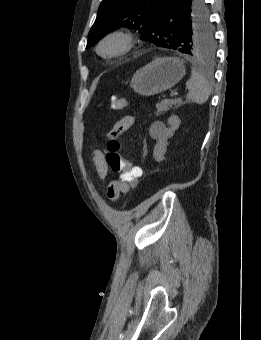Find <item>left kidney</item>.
<instances>
[{
	"label": "left kidney",
	"instance_id": "left-kidney-1",
	"mask_svg": "<svg viewBox=\"0 0 261 340\" xmlns=\"http://www.w3.org/2000/svg\"><path fill=\"white\" fill-rule=\"evenodd\" d=\"M180 123L181 121L179 117L176 115H172L168 119V124L170 127L167 128L164 131L163 136L157 140V143L153 150V157L155 158L157 162H161L164 160V155L167 151L168 139L173 136L175 130L178 129Z\"/></svg>",
	"mask_w": 261,
	"mask_h": 340
}]
</instances>
